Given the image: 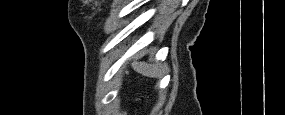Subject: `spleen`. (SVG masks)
I'll return each instance as SVG.
<instances>
[{
  "label": "spleen",
  "mask_w": 285,
  "mask_h": 115,
  "mask_svg": "<svg viewBox=\"0 0 285 115\" xmlns=\"http://www.w3.org/2000/svg\"><path fill=\"white\" fill-rule=\"evenodd\" d=\"M133 68L136 72L142 74L143 76L152 77V78L161 76V70L158 66L147 64L145 62L135 63L133 65Z\"/></svg>",
  "instance_id": "3e777b00"
}]
</instances>
